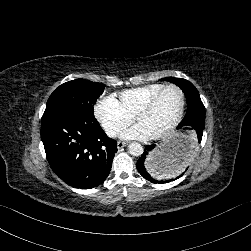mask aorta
Wrapping results in <instances>:
<instances>
[{
	"mask_svg": "<svg viewBox=\"0 0 251 251\" xmlns=\"http://www.w3.org/2000/svg\"><path fill=\"white\" fill-rule=\"evenodd\" d=\"M129 154L133 156H139L143 152V147L138 142H131L127 146Z\"/></svg>",
	"mask_w": 251,
	"mask_h": 251,
	"instance_id": "obj_1",
	"label": "aorta"
}]
</instances>
